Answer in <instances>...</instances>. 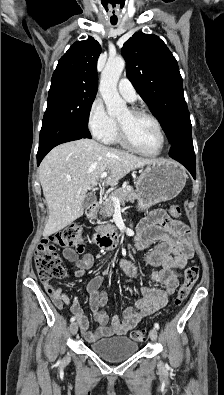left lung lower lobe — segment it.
I'll return each instance as SVG.
<instances>
[{"label":"left lung lower lobe","instance_id":"0a47b994","mask_svg":"<svg viewBox=\"0 0 224 395\" xmlns=\"http://www.w3.org/2000/svg\"><path fill=\"white\" fill-rule=\"evenodd\" d=\"M191 123L182 127L171 143L170 157L183 164L196 178L195 153L191 136Z\"/></svg>","mask_w":224,"mask_h":395}]
</instances>
